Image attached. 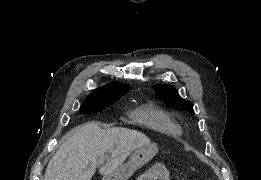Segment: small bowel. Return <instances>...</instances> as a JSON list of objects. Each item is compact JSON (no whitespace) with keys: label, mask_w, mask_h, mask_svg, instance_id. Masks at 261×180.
<instances>
[{"label":"small bowel","mask_w":261,"mask_h":180,"mask_svg":"<svg viewBox=\"0 0 261 180\" xmlns=\"http://www.w3.org/2000/svg\"><path fill=\"white\" fill-rule=\"evenodd\" d=\"M169 171L161 163L154 164L139 176V180H168Z\"/></svg>","instance_id":"small-bowel-1"}]
</instances>
